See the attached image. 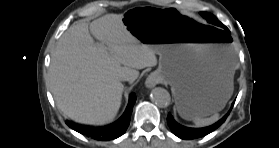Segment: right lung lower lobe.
I'll list each match as a JSON object with an SVG mask.
<instances>
[{"label": "right lung lower lobe", "instance_id": "1", "mask_svg": "<svg viewBox=\"0 0 279 148\" xmlns=\"http://www.w3.org/2000/svg\"><path fill=\"white\" fill-rule=\"evenodd\" d=\"M135 101H136V95L134 93H131L129 104L124 114L121 116L119 120H117L115 123L109 126L103 128H93V127L78 125L70 121H66V124L73 130L81 134H84L88 137H91L95 140L107 141V140L115 139L123 135L126 129L128 128Z\"/></svg>", "mask_w": 279, "mask_h": 148}]
</instances>
